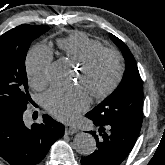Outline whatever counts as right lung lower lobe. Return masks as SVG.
I'll return each mask as SVG.
<instances>
[{
    "label": "right lung lower lobe",
    "mask_w": 165,
    "mask_h": 165,
    "mask_svg": "<svg viewBox=\"0 0 165 165\" xmlns=\"http://www.w3.org/2000/svg\"><path fill=\"white\" fill-rule=\"evenodd\" d=\"M23 112H0V156L11 165H37L64 135V126L45 114L43 123L28 128Z\"/></svg>",
    "instance_id": "1"
}]
</instances>
